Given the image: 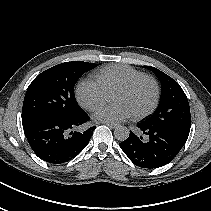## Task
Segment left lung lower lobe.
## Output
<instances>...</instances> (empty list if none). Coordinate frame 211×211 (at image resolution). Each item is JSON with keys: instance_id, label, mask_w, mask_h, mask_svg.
Listing matches in <instances>:
<instances>
[{"instance_id": "0a47b994", "label": "left lung lower lobe", "mask_w": 211, "mask_h": 211, "mask_svg": "<svg viewBox=\"0 0 211 211\" xmlns=\"http://www.w3.org/2000/svg\"><path fill=\"white\" fill-rule=\"evenodd\" d=\"M145 138L130 131L129 137L119 144L127 157L141 168H158L169 163L185 144V138L175 132L148 126L142 122L137 124Z\"/></svg>"}]
</instances>
